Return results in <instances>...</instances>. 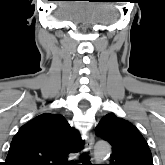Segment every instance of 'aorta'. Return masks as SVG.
<instances>
[{
    "label": "aorta",
    "instance_id": "762f6f07",
    "mask_svg": "<svg viewBox=\"0 0 165 165\" xmlns=\"http://www.w3.org/2000/svg\"><path fill=\"white\" fill-rule=\"evenodd\" d=\"M111 153V146L107 142H98L95 145L94 155L97 161H102Z\"/></svg>",
    "mask_w": 165,
    "mask_h": 165
}]
</instances>
